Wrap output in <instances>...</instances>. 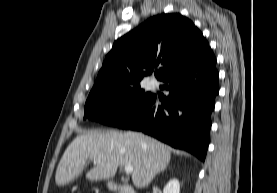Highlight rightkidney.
I'll return each mask as SVG.
<instances>
[{
    "mask_svg": "<svg viewBox=\"0 0 277 193\" xmlns=\"http://www.w3.org/2000/svg\"><path fill=\"white\" fill-rule=\"evenodd\" d=\"M163 193H180V184L177 179L170 180L164 187Z\"/></svg>",
    "mask_w": 277,
    "mask_h": 193,
    "instance_id": "1",
    "label": "right kidney"
}]
</instances>
